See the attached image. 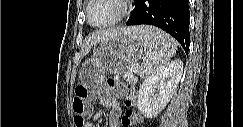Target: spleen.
Segmentation results:
<instances>
[{
    "instance_id": "spleen-1",
    "label": "spleen",
    "mask_w": 243,
    "mask_h": 127,
    "mask_svg": "<svg viewBox=\"0 0 243 127\" xmlns=\"http://www.w3.org/2000/svg\"><path fill=\"white\" fill-rule=\"evenodd\" d=\"M133 35L142 42L144 48L143 62L139 66V74L148 77L168 64L177 49L176 41L162 30L141 26Z\"/></svg>"
}]
</instances>
